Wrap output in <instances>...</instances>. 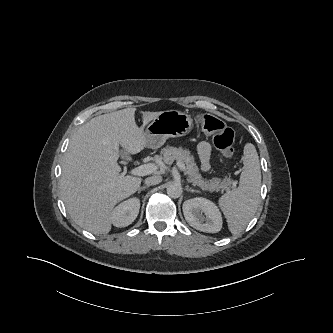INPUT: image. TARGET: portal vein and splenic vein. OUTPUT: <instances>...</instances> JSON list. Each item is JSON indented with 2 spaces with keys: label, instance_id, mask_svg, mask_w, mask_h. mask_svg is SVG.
I'll return each instance as SVG.
<instances>
[{
  "label": "portal vein and splenic vein",
  "instance_id": "portal-vein-and-splenic-vein-1",
  "mask_svg": "<svg viewBox=\"0 0 333 333\" xmlns=\"http://www.w3.org/2000/svg\"><path fill=\"white\" fill-rule=\"evenodd\" d=\"M176 165L178 166V168L180 170L185 171L184 163L178 161L176 163ZM155 170H156V166L152 163H148V164H144V165H141V166H138V167L132 169L130 171V173L135 176H145V175L153 173Z\"/></svg>",
  "mask_w": 333,
  "mask_h": 333
}]
</instances>
